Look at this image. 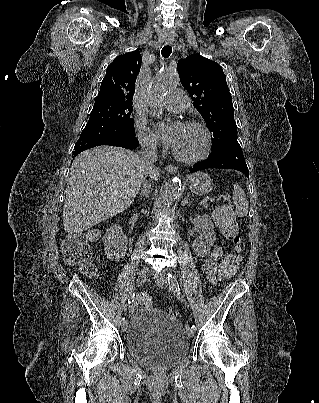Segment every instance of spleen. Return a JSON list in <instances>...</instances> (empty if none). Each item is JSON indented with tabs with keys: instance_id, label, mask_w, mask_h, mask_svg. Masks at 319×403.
<instances>
[{
	"instance_id": "1",
	"label": "spleen",
	"mask_w": 319,
	"mask_h": 403,
	"mask_svg": "<svg viewBox=\"0 0 319 403\" xmlns=\"http://www.w3.org/2000/svg\"><path fill=\"white\" fill-rule=\"evenodd\" d=\"M233 202L236 205L237 216L245 217L248 214V200L238 184L233 185Z\"/></svg>"
}]
</instances>
